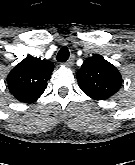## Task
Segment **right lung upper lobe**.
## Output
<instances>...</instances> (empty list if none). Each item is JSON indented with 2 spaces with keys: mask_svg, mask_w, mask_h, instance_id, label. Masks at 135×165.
Here are the masks:
<instances>
[{
  "mask_svg": "<svg viewBox=\"0 0 135 165\" xmlns=\"http://www.w3.org/2000/svg\"><path fill=\"white\" fill-rule=\"evenodd\" d=\"M52 71V62L26 57L9 73L7 77L9 90L17 100L32 103L45 91Z\"/></svg>",
  "mask_w": 135,
  "mask_h": 165,
  "instance_id": "obj_1",
  "label": "right lung upper lobe"
}]
</instances>
